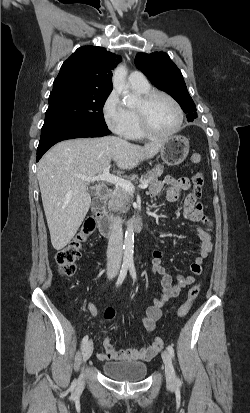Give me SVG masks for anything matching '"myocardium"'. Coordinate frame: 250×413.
Instances as JSON below:
<instances>
[{
	"label": "myocardium",
	"instance_id": "f54148a6",
	"mask_svg": "<svg viewBox=\"0 0 250 413\" xmlns=\"http://www.w3.org/2000/svg\"><path fill=\"white\" fill-rule=\"evenodd\" d=\"M157 96H162L168 99L174 105L178 113V122L176 126L167 133L156 132L150 124L149 106L153 99ZM136 111L139 118L140 128L144 136L152 139H166L174 136L180 131L184 122V112L179 102L172 95L161 90H149L148 92L143 94Z\"/></svg>",
	"mask_w": 250,
	"mask_h": 413
}]
</instances>
